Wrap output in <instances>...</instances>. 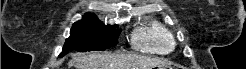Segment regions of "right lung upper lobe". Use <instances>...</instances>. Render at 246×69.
Listing matches in <instances>:
<instances>
[{"instance_id": "right-lung-upper-lobe-1", "label": "right lung upper lobe", "mask_w": 246, "mask_h": 69, "mask_svg": "<svg viewBox=\"0 0 246 69\" xmlns=\"http://www.w3.org/2000/svg\"><path fill=\"white\" fill-rule=\"evenodd\" d=\"M89 21H98V18L91 13H87L83 16V19L79 22H89Z\"/></svg>"}]
</instances>
